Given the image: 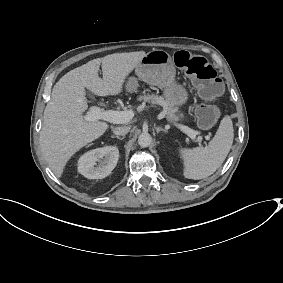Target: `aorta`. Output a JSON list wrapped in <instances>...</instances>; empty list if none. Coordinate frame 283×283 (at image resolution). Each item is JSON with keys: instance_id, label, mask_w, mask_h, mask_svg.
<instances>
[{"instance_id": "obj_1", "label": "aorta", "mask_w": 283, "mask_h": 283, "mask_svg": "<svg viewBox=\"0 0 283 283\" xmlns=\"http://www.w3.org/2000/svg\"><path fill=\"white\" fill-rule=\"evenodd\" d=\"M152 142V137L149 133H142L138 137V144L145 148L148 147Z\"/></svg>"}]
</instances>
